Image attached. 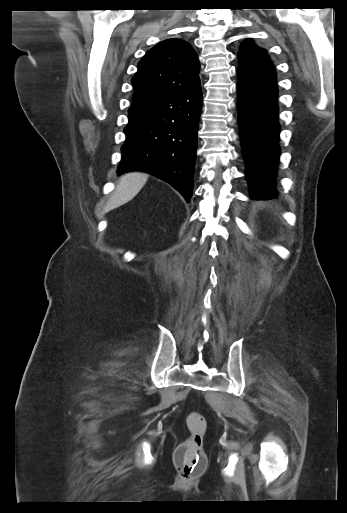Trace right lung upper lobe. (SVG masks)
<instances>
[{"instance_id": "1", "label": "right lung upper lobe", "mask_w": 347, "mask_h": 513, "mask_svg": "<svg viewBox=\"0 0 347 513\" xmlns=\"http://www.w3.org/2000/svg\"><path fill=\"white\" fill-rule=\"evenodd\" d=\"M199 62L191 45L168 39L149 50L132 79L134 105L163 99L200 87Z\"/></svg>"}]
</instances>
